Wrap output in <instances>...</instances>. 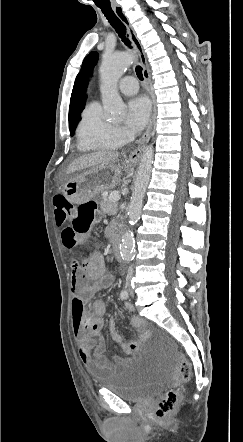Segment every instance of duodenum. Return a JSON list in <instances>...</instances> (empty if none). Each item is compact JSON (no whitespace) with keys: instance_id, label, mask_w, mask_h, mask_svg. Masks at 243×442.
I'll list each match as a JSON object with an SVG mask.
<instances>
[{"instance_id":"410a0bca","label":"duodenum","mask_w":243,"mask_h":442,"mask_svg":"<svg viewBox=\"0 0 243 442\" xmlns=\"http://www.w3.org/2000/svg\"><path fill=\"white\" fill-rule=\"evenodd\" d=\"M114 252L117 256L120 257V254L122 252V244H121V233L115 232L114 233Z\"/></svg>"}]
</instances>
